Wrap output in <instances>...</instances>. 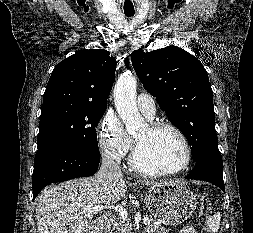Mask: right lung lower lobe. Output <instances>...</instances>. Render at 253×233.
<instances>
[{
  "instance_id": "1",
  "label": "right lung lower lobe",
  "mask_w": 253,
  "mask_h": 233,
  "mask_svg": "<svg viewBox=\"0 0 253 233\" xmlns=\"http://www.w3.org/2000/svg\"><path fill=\"white\" fill-rule=\"evenodd\" d=\"M99 161L100 154L65 145L50 144L38 149L32 178L33 200L51 183L95 174Z\"/></svg>"
}]
</instances>
